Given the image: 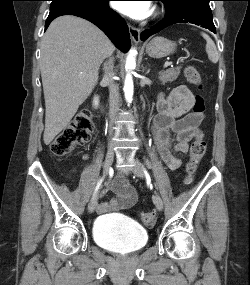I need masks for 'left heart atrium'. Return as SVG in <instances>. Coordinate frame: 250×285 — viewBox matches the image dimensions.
Here are the masks:
<instances>
[{"label": "left heart atrium", "instance_id": "left-heart-atrium-1", "mask_svg": "<svg viewBox=\"0 0 250 285\" xmlns=\"http://www.w3.org/2000/svg\"><path fill=\"white\" fill-rule=\"evenodd\" d=\"M114 6L120 13L133 19H144L152 13L149 1H117Z\"/></svg>", "mask_w": 250, "mask_h": 285}]
</instances>
